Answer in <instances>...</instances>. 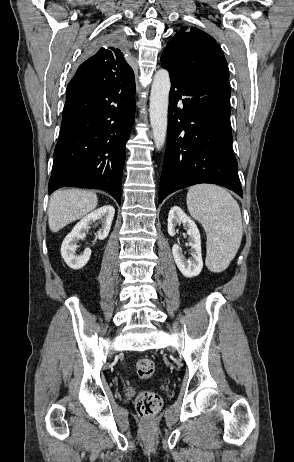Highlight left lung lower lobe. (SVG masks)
<instances>
[{
	"instance_id": "1",
	"label": "left lung lower lobe",
	"mask_w": 294,
	"mask_h": 462,
	"mask_svg": "<svg viewBox=\"0 0 294 462\" xmlns=\"http://www.w3.org/2000/svg\"><path fill=\"white\" fill-rule=\"evenodd\" d=\"M168 132L158 201L198 183L224 186L243 197L232 152L230 94L225 81L170 75Z\"/></svg>"
}]
</instances>
